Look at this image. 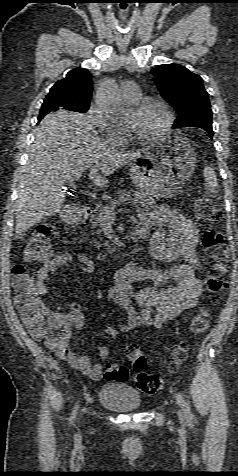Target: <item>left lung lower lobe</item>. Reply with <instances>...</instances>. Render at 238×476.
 I'll use <instances>...</instances> for the list:
<instances>
[{"mask_svg":"<svg viewBox=\"0 0 238 476\" xmlns=\"http://www.w3.org/2000/svg\"><path fill=\"white\" fill-rule=\"evenodd\" d=\"M202 129H204L205 131H207V132L210 134V138L213 137V130H212V128L204 127V128H202Z\"/></svg>","mask_w":238,"mask_h":476,"instance_id":"left-lung-lower-lobe-1","label":"left lung lower lobe"}]
</instances>
